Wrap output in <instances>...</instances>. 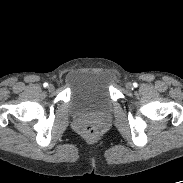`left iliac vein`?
<instances>
[{
	"instance_id": "1",
	"label": "left iliac vein",
	"mask_w": 183,
	"mask_h": 183,
	"mask_svg": "<svg viewBox=\"0 0 183 183\" xmlns=\"http://www.w3.org/2000/svg\"><path fill=\"white\" fill-rule=\"evenodd\" d=\"M125 87L128 89V90H131L133 88V84L131 82H127Z\"/></svg>"
}]
</instances>
